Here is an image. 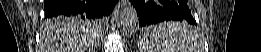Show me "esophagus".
<instances>
[{"mask_svg": "<svg viewBox=\"0 0 261 52\" xmlns=\"http://www.w3.org/2000/svg\"><path fill=\"white\" fill-rule=\"evenodd\" d=\"M129 3V1L128 0H122V4L125 6V5H127Z\"/></svg>", "mask_w": 261, "mask_h": 52, "instance_id": "34e87169", "label": "esophagus"}]
</instances>
